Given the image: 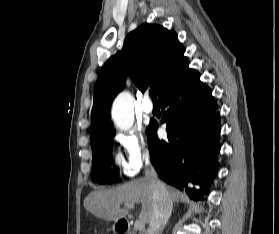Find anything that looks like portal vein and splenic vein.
I'll return each mask as SVG.
<instances>
[{
    "mask_svg": "<svg viewBox=\"0 0 279 234\" xmlns=\"http://www.w3.org/2000/svg\"><path fill=\"white\" fill-rule=\"evenodd\" d=\"M124 205H125V207L130 208V209L134 208V204L133 203H125ZM144 226H145V224H144V222L142 220H138V221H136L134 223V228L136 230H141V229L144 228Z\"/></svg>",
    "mask_w": 279,
    "mask_h": 234,
    "instance_id": "18ae733b",
    "label": "portal vein and splenic vein"
}]
</instances>
